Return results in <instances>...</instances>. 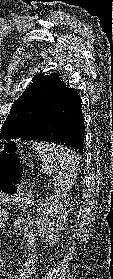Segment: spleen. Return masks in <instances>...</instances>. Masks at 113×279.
Masks as SVG:
<instances>
[{"mask_svg":"<svg viewBox=\"0 0 113 279\" xmlns=\"http://www.w3.org/2000/svg\"><path fill=\"white\" fill-rule=\"evenodd\" d=\"M33 147L39 154L43 172L49 176L54 175L55 191H70L79 170V154L55 143L34 142Z\"/></svg>","mask_w":113,"mask_h":279,"instance_id":"1","label":"spleen"}]
</instances>
